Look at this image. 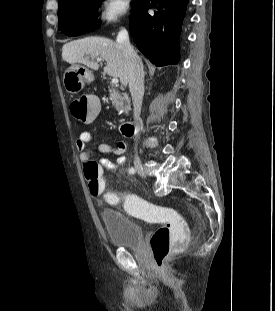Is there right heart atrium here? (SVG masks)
Masks as SVG:
<instances>
[{
  "label": "right heart atrium",
  "instance_id": "obj_1",
  "mask_svg": "<svg viewBox=\"0 0 275 311\" xmlns=\"http://www.w3.org/2000/svg\"><path fill=\"white\" fill-rule=\"evenodd\" d=\"M128 10V0H103L99 21L104 25L116 26L122 23Z\"/></svg>",
  "mask_w": 275,
  "mask_h": 311
}]
</instances>
